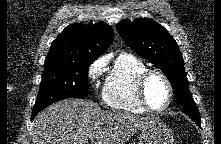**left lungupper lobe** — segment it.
<instances>
[{
	"mask_svg": "<svg viewBox=\"0 0 221 144\" xmlns=\"http://www.w3.org/2000/svg\"><path fill=\"white\" fill-rule=\"evenodd\" d=\"M117 30L131 49L156 65L169 79L173 90L183 105V111L192 120L200 121L197 107L187 84L184 61L178 44L168 31L151 19L122 21Z\"/></svg>",
	"mask_w": 221,
	"mask_h": 144,
	"instance_id": "5c2ea615",
	"label": "left lung upper lobe"
}]
</instances>
